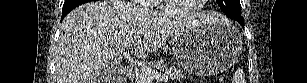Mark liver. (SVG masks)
<instances>
[{
    "label": "liver",
    "mask_w": 307,
    "mask_h": 83,
    "mask_svg": "<svg viewBox=\"0 0 307 83\" xmlns=\"http://www.w3.org/2000/svg\"><path fill=\"white\" fill-rule=\"evenodd\" d=\"M211 22H219L211 12L173 16L149 12L122 0L83 4L61 24L55 49V81L102 83L99 73L120 66L128 42H133L137 57L146 58L173 34Z\"/></svg>",
    "instance_id": "6515ba94"
}]
</instances>
